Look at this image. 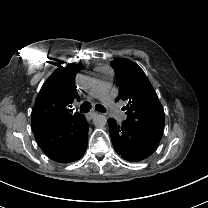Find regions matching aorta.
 Listing matches in <instances>:
<instances>
[{
	"instance_id": "1",
	"label": "aorta",
	"mask_w": 208,
	"mask_h": 208,
	"mask_svg": "<svg viewBox=\"0 0 208 208\" xmlns=\"http://www.w3.org/2000/svg\"><path fill=\"white\" fill-rule=\"evenodd\" d=\"M93 124L98 127H103L107 124V117L104 114H95Z\"/></svg>"
}]
</instances>
